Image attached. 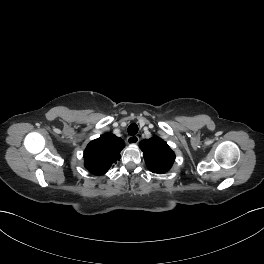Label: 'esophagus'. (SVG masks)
<instances>
[{
  "label": "esophagus",
  "instance_id": "esophagus-1",
  "mask_svg": "<svg viewBox=\"0 0 264 264\" xmlns=\"http://www.w3.org/2000/svg\"><path fill=\"white\" fill-rule=\"evenodd\" d=\"M138 142H139V137L137 135H132L127 138L128 144L134 145L137 144Z\"/></svg>",
  "mask_w": 264,
  "mask_h": 264
}]
</instances>
